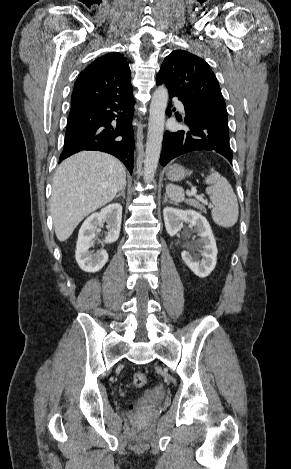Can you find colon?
I'll return each mask as SVG.
<instances>
[{
    "instance_id": "obj_1",
    "label": "colon",
    "mask_w": 291,
    "mask_h": 469,
    "mask_svg": "<svg viewBox=\"0 0 291 469\" xmlns=\"http://www.w3.org/2000/svg\"><path fill=\"white\" fill-rule=\"evenodd\" d=\"M148 382V377L144 372H137L132 375L130 379V385L134 388H141L144 387ZM130 410L135 411L137 406L134 404L130 405Z\"/></svg>"
}]
</instances>
